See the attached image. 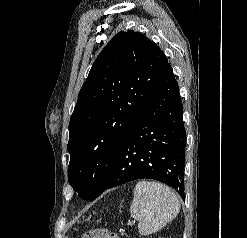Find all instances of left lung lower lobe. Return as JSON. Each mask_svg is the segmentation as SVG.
I'll return each mask as SVG.
<instances>
[{
  "label": "left lung lower lobe",
  "mask_w": 247,
  "mask_h": 238,
  "mask_svg": "<svg viewBox=\"0 0 247 238\" xmlns=\"http://www.w3.org/2000/svg\"><path fill=\"white\" fill-rule=\"evenodd\" d=\"M186 132L179 87L167 63L160 82L122 142L101 193L129 181H161L183 196Z\"/></svg>",
  "instance_id": "0a47b994"
}]
</instances>
